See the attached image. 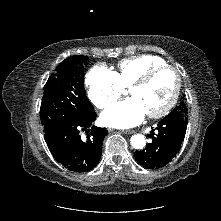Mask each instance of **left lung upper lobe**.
<instances>
[{"instance_id": "1", "label": "left lung upper lobe", "mask_w": 221, "mask_h": 221, "mask_svg": "<svg viewBox=\"0 0 221 221\" xmlns=\"http://www.w3.org/2000/svg\"><path fill=\"white\" fill-rule=\"evenodd\" d=\"M174 112H181L183 114H187V108L186 105L184 104V101H182L178 106H176L170 113Z\"/></svg>"}]
</instances>
